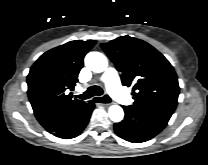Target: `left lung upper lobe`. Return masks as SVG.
Here are the masks:
<instances>
[{
    "label": "left lung upper lobe",
    "mask_w": 208,
    "mask_h": 165,
    "mask_svg": "<svg viewBox=\"0 0 208 165\" xmlns=\"http://www.w3.org/2000/svg\"><path fill=\"white\" fill-rule=\"evenodd\" d=\"M101 47L121 73L122 84L133 85L132 106L174 113L180 88L173 67L160 52L130 36L102 43Z\"/></svg>",
    "instance_id": "5c2ea615"
}]
</instances>
